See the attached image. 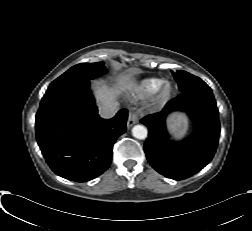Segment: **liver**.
Instances as JSON below:
<instances>
[{
	"mask_svg": "<svg viewBox=\"0 0 252 231\" xmlns=\"http://www.w3.org/2000/svg\"><path fill=\"white\" fill-rule=\"evenodd\" d=\"M96 99L100 105L113 102L119 92L133 91L136 87V81L130 75H120L117 84L114 87H108L105 84H95Z\"/></svg>",
	"mask_w": 252,
	"mask_h": 231,
	"instance_id": "obj_1",
	"label": "liver"
}]
</instances>
